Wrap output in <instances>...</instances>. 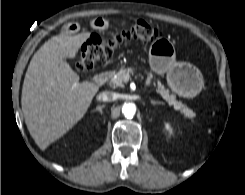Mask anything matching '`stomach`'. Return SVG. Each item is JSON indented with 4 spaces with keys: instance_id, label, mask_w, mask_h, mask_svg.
<instances>
[{
    "instance_id": "0dacf381",
    "label": "stomach",
    "mask_w": 245,
    "mask_h": 195,
    "mask_svg": "<svg viewBox=\"0 0 245 195\" xmlns=\"http://www.w3.org/2000/svg\"><path fill=\"white\" fill-rule=\"evenodd\" d=\"M151 69L158 74H166L172 91L185 97L193 98L203 87V77L195 66L175 60L174 45L166 39L155 40L149 49Z\"/></svg>"
}]
</instances>
